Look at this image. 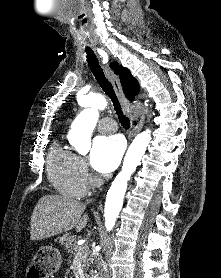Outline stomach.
<instances>
[{
  "label": "stomach",
  "mask_w": 221,
  "mask_h": 278,
  "mask_svg": "<svg viewBox=\"0 0 221 278\" xmlns=\"http://www.w3.org/2000/svg\"><path fill=\"white\" fill-rule=\"evenodd\" d=\"M36 258L27 264L28 278H49L56 273L62 263L60 252L50 246L42 247Z\"/></svg>",
  "instance_id": "0dacf381"
}]
</instances>
